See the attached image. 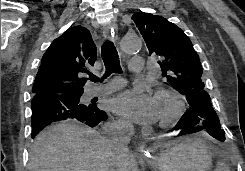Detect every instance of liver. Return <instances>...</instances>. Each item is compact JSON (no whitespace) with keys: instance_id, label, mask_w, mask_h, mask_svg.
Wrapping results in <instances>:
<instances>
[{"instance_id":"liver-1","label":"liver","mask_w":245,"mask_h":171,"mask_svg":"<svg viewBox=\"0 0 245 171\" xmlns=\"http://www.w3.org/2000/svg\"><path fill=\"white\" fill-rule=\"evenodd\" d=\"M107 163L116 171H138L129 151L125 156H118L97 131L60 122L36 137L28 171H103Z\"/></svg>"}]
</instances>
